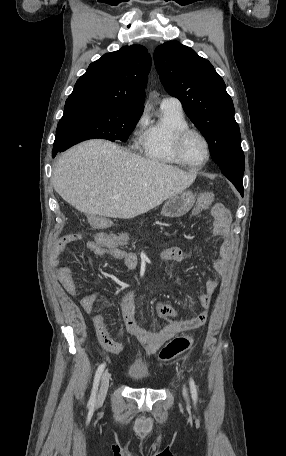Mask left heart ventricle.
<instances>
[{
  "instance_id": "obj_1",
  "label": "left heart ventricle",
  "mask_w": 286,
  "mask_h": 456,
  "mask_svg": "<svg viewBox=\"0 0 286 456\" xmlns=\"http://www.w3.org/2000/svg\"><path fill=\"white\" fill-rule=\"evenodd\" d=\"M183 152L187 160L193 164H200L206 159L205 143L196 134H191L186 138Z\"/></svg>"
}]
</instances>
